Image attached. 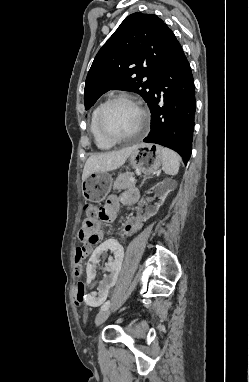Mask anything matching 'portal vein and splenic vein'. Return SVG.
<instances>
[{
  "label": "portal vein and splenic vein",
  "mask_w": 249,
  "mask_h": 382,
  "mask_svg": "<svg viewBox=\"0 0 249 382\" xmlns=\"http://www.w3.org/2000/svg\"><path fill=\"white\" fill-rule=\"evenodd\" d=\"M130 181H131V182H134V181H135V178H133V177L130 178Z\"/></svg>",
  "instance_id": "1"
}]
</instances>
